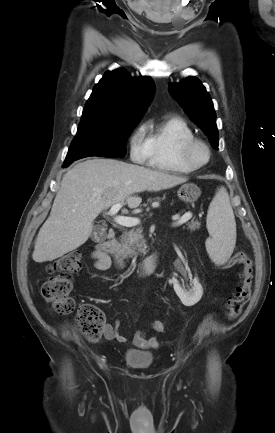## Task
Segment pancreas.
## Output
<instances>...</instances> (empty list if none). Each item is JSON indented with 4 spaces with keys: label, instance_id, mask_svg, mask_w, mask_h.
Listing matches in <instances>:
<instances>
[{
    "label": "pancreas",
    "instance_id": "1",
    "mask_svg": "<svg viewBox=\"0 0 275 433\" xmlns=\"http://www.w3.org/2000/svg\"><path fill=\"white\" fill-rule=\"evenodd\" d=\"M200 222L191 220L187 223V228L190 231H195L200 228ZM142 235L140 229L124 230L120 241L116 242V251L124 258H133L137 255V251L144 252L142 247Z\"/></svg>",
    "mask_w": 275,
    "mask_h": 433
}]
</instances>
